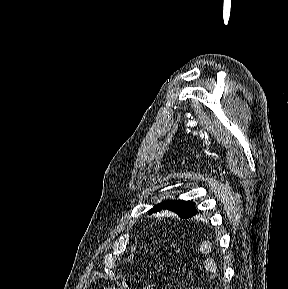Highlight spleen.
<instances>
[{
	"mask_svg": "<svg viewBox=\"0 0 288 289\" xmlns=\"http://www.w3.org/2000/svg\"><path fill=\"white\" fill-rule=\"evenodd\" d=\"M205 266L207 269H209L210 271L212 272H215L217 267H216V263L215 261L213 260V258H208L206 261H205Z\"/></svg>",
	"mask_w": 288,
	"mask_h": 289,
	"instance_id": "obj_1",
	"label": "spleen"
}]
</instances>
